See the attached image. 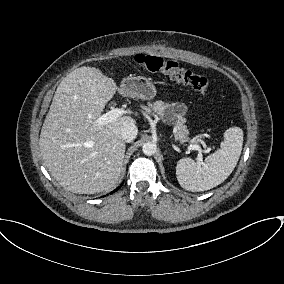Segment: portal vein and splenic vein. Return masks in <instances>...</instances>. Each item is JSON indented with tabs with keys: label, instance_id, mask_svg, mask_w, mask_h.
Wrapping results in <instances>:
<instances>
[{
	"label": "portal vein and splenic vein",
	"instance_id": "1",
	"mask_svg": "<svg viewBox=\"0 0 284 284\" xmlns=\"http://www.w3.org/2000/svg\"><path fill=\"white\" fill-rule=\"evenodd\" d=\"M124 113H127V111L121 109V108H113L110 111H108L107 113L101 115L96 121L95 123L99 126H103L106 125L112 121H115L116 119H118L120 116H122ZM188 150H195L198 152V156H197V161L199 162H203V157H202V153H208L211 149L207 148L205 150H203L199 145L196 144H190L188 146Z\"/></svg>",
	"mask_w": 284,
	"mask_h": 284
}]
</instances>
